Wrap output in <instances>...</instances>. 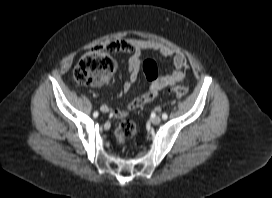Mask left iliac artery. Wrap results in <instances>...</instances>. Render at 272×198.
I'll return each mask as SVG.
<instances>
[{
	"label": "left iliac artery",
	"mask_w": 272,
	"mask_h": 198,
	"mask_svg": "<svg viewBox=\"0 0 272 198\" xmlns=\"http://www.w3.org/2000/svg\"><path fill=\"white\" fill-rule=\"evenodd\" d=\"M162 118H163L164 120H166V119L168 118L167 114H166V113H163V114H162Z\"/></svg>",
	"instance_id": "1"
}]
</instances>
